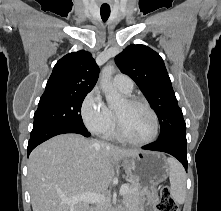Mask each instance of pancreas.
Returning <instances> with one entry per match:
<instances>
[{"instance_id":"cf45deb5","label":"pancreas","mask_w":221,"mask_h":211,"mask_svg":"<svg viewBox=\"0 0 221 211\" xmlns=\"http://www.w3.org/2000/svg\"><path fill=\"white\" fill-rule=\"evenodd\" d=\"M127 185L128 190L123 196V204L126 207V211H139L140 203L142 202L140 189L138 184L133 183ZM95 211H107L106 206H98Z\"/></svg>"}]
</instances>
